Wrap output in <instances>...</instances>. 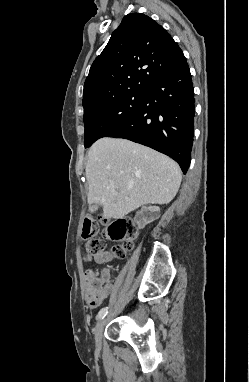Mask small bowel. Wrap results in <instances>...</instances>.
Instances as JSON below:
<instances>
[{"label":"small bowel","instance_id":"obj_1","mask_svg":"<svg viewBox=\"0 0 249 382\" xmlns=\"http://www.w3.org/2000/svg\"><path fill=\"white\" fill-rule=\"evenodd\" d=\"M113 257H114L113 254H111L108 251H104L94 256L87 255L85 257V260L89 261L93 258L97 263L103 264V263L111 261ZM109 277H110L109 271L107 269H104L98 281H107ZM85 291H86V303L90 309H94L98 307L102 303L103 299L107 296L106 295L104 298H101L98 300L94 299L93 295L95 293V288H94L92 279L89 277H87L86 279Z\"/></svg>","mask_w":249,"mask_h":382}]
</instances>
